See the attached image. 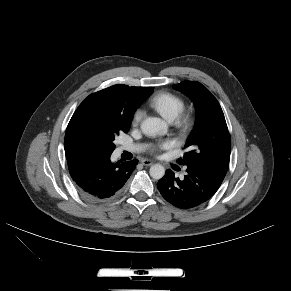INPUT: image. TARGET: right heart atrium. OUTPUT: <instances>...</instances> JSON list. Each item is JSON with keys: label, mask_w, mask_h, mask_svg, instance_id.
<instances>
[{"label": "right heart atrium", "mask_w": 291, "mask_h": 291, "mask_svg": "<svg viewBox=\"0 0 291 291\" xmlns=\"http://www.w3.org/2000/svg\"><path fill=\"white\" fill-rule=\"evenodd\" d=\"M143 117V111L141 109H137L132 117V123L138 124Z\"/></svg>", "instance_id": "obj_1"}]
</instances>
